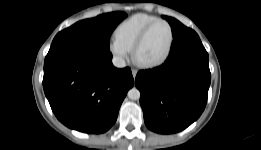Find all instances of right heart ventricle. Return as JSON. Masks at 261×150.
Listing matches in <instances>:
<instances>
[{
  "label": "right heart ventricle",
  "mask_w": 261,
  "mask_h": 150,
  "mask_svg": "<svg viewBox=\"0 0 261 150\" xmlns=\"http://www.w3.org/2000/svg\"><path fill=\"white\" fill-rule=\"evenodd\" d=\"M158 17L146 13H137L123 20L114 30V37L129 50L144 28Z\"/></svg>",
  "instance_id": "obj_1"
}]
</instances>
